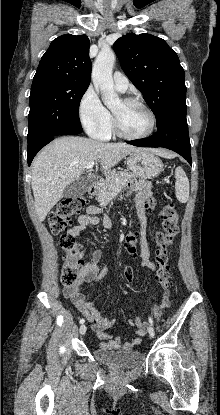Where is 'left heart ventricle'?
I'll use <instances>...</instances> for the list:
<instances>
[{
	"instance_id": "left-heart-ventricle-1",
	"label": "left heart ventricle",
	"mask_w": 220,
	"mask_h": 415,
	"mask_svg": "<svg viewBox=\"0 0 220 415\" xmlns=\"http://www.w3.org/2000/svg\"><path fill=\"white\" fill-rule=\"evenodd\" d=\"M112 111L118 118L122 130L130 135H141L150 127L148 113L138 105H126L119 101Z\"/></svg>"
}]
</instances>
